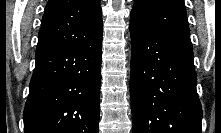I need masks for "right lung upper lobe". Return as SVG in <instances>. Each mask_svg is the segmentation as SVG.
Here are the masks:
<instances>
[{
  "label": "right lung upper lobe",
  "instance_id": "right-lung-upper-lobe-1",
  "mask_svg": "<svg viewBox=\"0 0 221 133\" xmlns=\"http://www.w3.org/2000/svg\"><path fill=\"white\" fill-rule=\"evenodd\" d=\"M101 30L100 0H49L36 52L81 45Z\"/></svg>",
  "mask_w": 221,
  "mask_h": 133
}]
</instances>
